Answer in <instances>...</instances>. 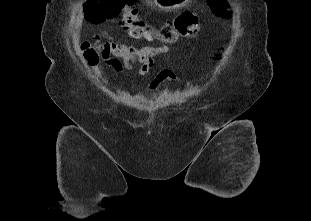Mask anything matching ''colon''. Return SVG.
<instances>
[{"instance_id": "5ec220e1", "label": "colon", "mask_w": 311, "mask_h": 221, "mask_svg": "<svg viewBox=\"0 0 311 221\" xmlns=\"http://www.w3.org/2000/svg\"><path fill=\"white\" fill-rule=\"evenodd\" d=\"M204 2L208 4V9H212L213 17H216L217 20L228 19L232 16V11L229 8L223 10L222 0L219 2L217 0H204ZM140 14L135 0H95L88 2L86 15H83L82 19L83 22H93L94 26H103L104 22H113L114 17H122L119 24L124 27V30L133 28V37H139L140 32L144 30L149 33L145 35L148 39L154 37L159 40L194 37L200 30L196 17L188 12L177 14L172 22L166 23L159 29L138 23L137 19ZM81 50L87 60L94 65V72L102 75V67L99 66V63L110 57L113 52L112 47L107 42L97 38L95 45H91L87 41L84 42L81 45Z\"/></svg>"}]
</instances>
